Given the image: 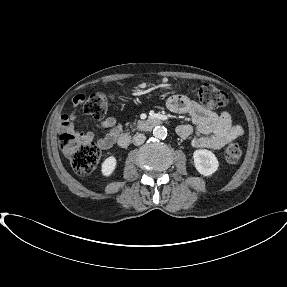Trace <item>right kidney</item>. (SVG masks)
Segmentation results:
<instances>
[{"mask_svg":"<svg viewBox=\"0 0 287 287\" xmlns=\"http://www.w3.org/2000/svg\"><path fill=\"white\" fill-rule=\"evenodd\" d=\"M117 160L114 156H110L102 163V174L106 177L110 176L116 168Z\"/></svg>","mask_w":287,"mask_h":287,"instance_id":"obj_1","label":"right kidney"}]
</instances>
